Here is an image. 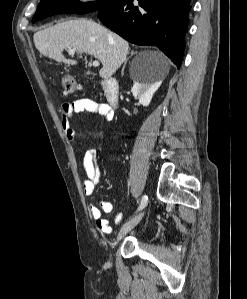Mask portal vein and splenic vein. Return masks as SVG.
I'll return each instance as SVG.
<instances>
[{
    "label": "portal vein and splenic vein",
    "mask_w": 247,
    "mask_h": 299,
    "mask_svg": "<svg viewBox=\"0 0 247 299\" xmlns=\"http://www.w3.org/2000/svg\"><path fill=\"white\" fill-rule=\"evenodd\" d=\"M69 53L70 54H74L75 53V49H69ZM93 66H95V67H97V66H99V61H97V60H94L93 61Z\"/></svg>",
    "instance_id": "1"
}]
</instances>
